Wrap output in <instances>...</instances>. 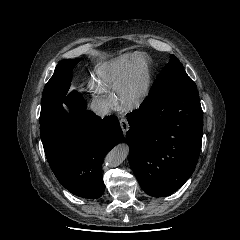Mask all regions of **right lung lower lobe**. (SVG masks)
Here are the masks:
<instances>
[{
    "label": "right lung lower lobe",
    "instance_id": "1",
    "mask_svg": "<svg viewBox=\"0 0 240 240\" xmlns=\"http://www.w3.org/2000/svg\"><path fill=\"white\" fill-rule=\"evenodd\" d=\"M70 113L58 108L43 123L40 136L48 163L58 181L72 194L96 199L104 193L102 161L123 137L116 116L101 119L86 111L76 93L70 96Z\"/></svg>",
    "mask_w": 240,
    "mask_h": 240
}]
</instances>
